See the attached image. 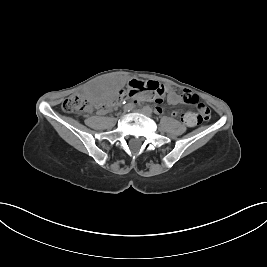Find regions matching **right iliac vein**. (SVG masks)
I'll list each match as a JSON object with an SVG mask.
<instances>
[{"label":"right iliac vein","instance_id":"63e3f726","mask_svg":"<svg viewBox=\"0 0 267 267\" xmlns=\"http://www.w3.org/2000/svg\"><path fill=\"white\" fill-rule=\"evenodd\" d=\"M125 116H126V113H122V114H121V117H125Z\"/></svg>","mask_w":267,"mask_h":267}]
</instances>
